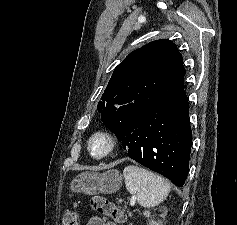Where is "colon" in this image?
<instances>
[{
    "instance_id": "obj_1",
    "label": "colon",
    "mask_w": 237,
    "mask_h": 225,
    "mask_svg": "<svg viewBox=\"0 0 237 225\" xmlns=\"http://www.w3.org/2000/svg\"><path fill=\"white\" fill-rule=\"evenodd\" d=\"M90 205L93 210L104 216L112 217L117 223H123L126 220L124 211L106 197L93 196L90 200ZM62 225H79L77 213L67 210L62 218Z\"/></svg>"
}]
</instances>
